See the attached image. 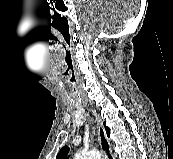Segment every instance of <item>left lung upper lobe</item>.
<instances>
[{"instance_id": "1", "label": "left lung upper lobe", "mask_w": 173, "mask_h": 159, "mask_svg": "<svg viewBox=\"0 0 173 159\" xmlns=\"http://www.w3.org/2000/svg\"><path fill=\"white\" fill-rule=\"evenodd\" d=\"M104 124H105V122H104ZM105 129H106L107 135L109 136V134H110L109 128L105 126ZM68 151H69V147L68 146L63 147L60 150V152L58 153L56 159H66L65 156L67 155Z\"/></svg>"}]
</instances>
